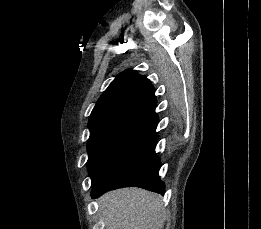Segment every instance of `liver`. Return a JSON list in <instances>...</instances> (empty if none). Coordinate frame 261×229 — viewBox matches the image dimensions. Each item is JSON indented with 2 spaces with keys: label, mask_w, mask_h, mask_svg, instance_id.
<instances>
[{
  "label": "liver",
  "mask_w": 261,
  "mask_h": 229,
  "mask_svg": "<svg viewBox=\"0 0 261 229\" xmlns=\"http://www.w3.org/2000/svg\"><path fill=\"white\" fill-rule=\"evenodd\" d=\"M105 229H164L162 197L144 189H117L99 199Z\"/></svg>",
  "instance_id": "liver-1"
}]
</instances>
